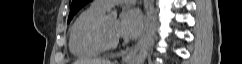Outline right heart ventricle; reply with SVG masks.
<instances>
[{"instance_id":"right-heart-ventricle-1","label":"right heart ventricle","mask_w":242,"mask_h":64,"mask_svg":"<svg viewBox=\"0 0 242 64\" xmlns=\"http://www.w3.org/2000/svg\"><path fill=\"white\" fill-rule=\"evenodd\" d=\"M105 12V9L92 4L77 16L69 31V50L74 56L91 58L100 54L101 51L86 40L85 30L92 21L103 16Z\"/></svg>"}]
</instances>
